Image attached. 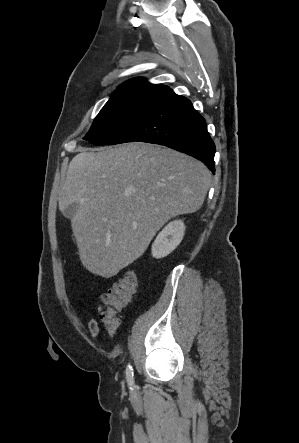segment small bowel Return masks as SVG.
<instances>
[{
    "label": "small bowel",
    "instance_id": "1",
    "mask_svg": "<svg viewBox=\"0 0 299 443\" xmlns=\"http://www.w3.org/2000/svg\"><path fill=\"white\" fill-rule=\"evenodd\" d=\"M88 328L93 337H97L100 334V328L95 318L88 322Z\"/></svg>",
    "mask_w": 299,
    "mask_h": 443
}]
</instances>
